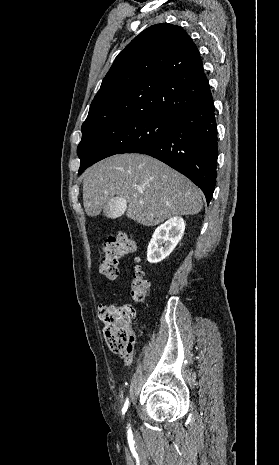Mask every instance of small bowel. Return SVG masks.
<instances>
[{
  "mask_svg": "<svg viewBox=\"0 0 279 465\" xmlns=\"http://www.w3.org/2000/svg\"><path fill=\"white\" fill-rule=\"evenodd\" d=\"M123 362H124V365H125V366L130 365L131 362H132V354L129 353V354L123 355Z\"/></svg>",
  "mask_w": 279,
  "mask_h": 465,
  "instance_id": "1",
  "label": "small bowel"
}]
</instances>
